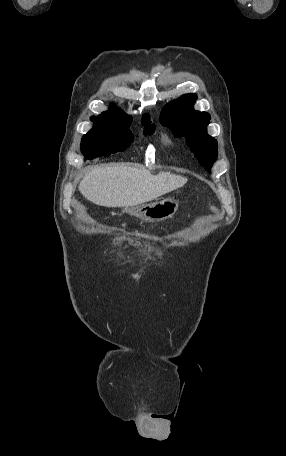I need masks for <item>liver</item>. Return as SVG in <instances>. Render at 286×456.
Wrapping results in <instances>:
<instances>
[{"label": "liver", "instance_id": "6515ba94", "mask_svg": "<svg viewBox=\"0 0 286 456\" xmlns=\"http://www.w3.org/2000/svg\"><path fill=\"white\" fill-rule=\"evenodd\" d=\"M186 177L170 172L152 175L143 167L117 165L95 168L79 184L89 201L105 207H131L152 201L187 183Z\"/></svg>", "mask_w": 286, "mask_h": 456}]
</instances>
